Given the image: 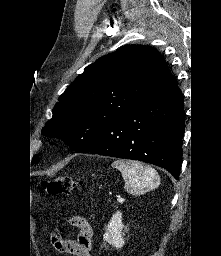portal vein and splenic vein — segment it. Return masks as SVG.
I'll return each mask as SVG.
<instances>
[{"label": "portal vein and splenic vein", "mask_w": 221, "mask_h": 256, "mask_svg": "<svg viewBox=\"0 0 221 256\" xmlns=\"http://www.w3.org/2000/svg\"><path fill=\"white\" fill-rule=\"evenodd\" d=\"M117 201L122 202V201H123V198L120 197V196H118V197H117Z\"/></svg>", "instance_id": "1"}]
</instances>
